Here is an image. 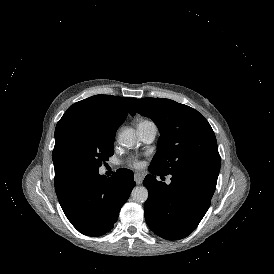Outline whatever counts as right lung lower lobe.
I'll list each match as a JSON object with an SVG mask.
<instances>
[{
    "label": "right lung lower lobe",
    "instance_id": "obj_1",
    "mask_svg": "<svg viewBox=\"0 0 274 274\" xmlns=\"http://www.w3.org/2000/svg\"><path fill=\"white\" fill-rule=\"evenodd\" d=\"M134 186L133 172L119 169L108 179L98 171L80 172L55 190L71 224L84 235L100 236L113 228Z\"/></svg>",
    "mask_w": 274,
    "mask_h": 274
}]
</instances>
